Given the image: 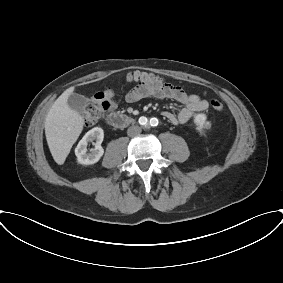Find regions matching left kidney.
Here are the masks:
<instances>
[{
	"label": "left kidney",
	"mask_w": 283,
	"mask_h": 283,
	"mask_svg": "<svg viewBox=\"0 0 283 283\" xmlns=\"http://www.w3.org/2000/svg\"><path fill=\"white\" fill-rule=\"evenodd\" d=\"M206 119L207 116L204 113H198L194 116V123L197 125V130L201 131L210 126V123Z\"/></svg>",
	"instance_id": "obj_1"
}]
</instances>
